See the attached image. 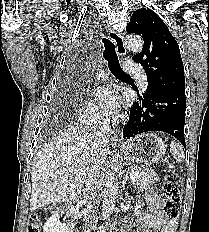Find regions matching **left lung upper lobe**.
Segmentation results:
<instances>
[{"mask_svg": "<svg viewBox=\"0 0 209 232\" xmlns=\"http://www.w3.org/2000/svg\"><path fill=\"white\" fill-rule=\"evenodd\" d=\"M128 33L144 39L140 53L133 60L140 63L148 80V92H172L185 96L184 67L180 49L163 20L152 10L141 8L131 16Z\"/></svg>", "mask_w": 209, "mask_h": 232, "instance_id": "1", "label": "left lung upper lobe"}]
</instances>
